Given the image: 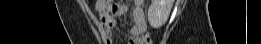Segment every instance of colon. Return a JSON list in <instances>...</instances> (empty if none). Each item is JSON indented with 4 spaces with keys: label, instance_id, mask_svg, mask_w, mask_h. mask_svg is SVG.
<instances>
[{
    "label": "colon",
    "instance_id": "colon-1",
    "mask_svg": "<svg viewBox=\"0 0 261 44\" xmlns=\"http://www.w3.org/2000/svg\"><path fill=\"white\" fill-rule=\"evenodd\" d=\"M97 6H117L121 5V2L117 1H111V0H104V1H97L96 2ZM136 43L137 44H151V38L148 33L143 34L139 37L136 38Z\"/></svg>",
    "mask_w": 261,
    "mask_h": 44
}]
</instances>
